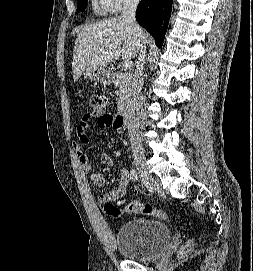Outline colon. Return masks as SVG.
<instances>
[{"label": "colon", "instance_id": "1", "mask_svg": "<svg viewBox=\"0 0 253 271\" xmlns=\"http://www.w3.org/2000/svg\"><path fill=\"white\" fill-rule=\"evenodd\" d=\"M91 105L94 113H101L102 111L105 110L107 106V98L102 94L94 93L91 95ZM112 207L125 209L130 213L155 216L163 220L167 219V214L164 211L155 208L153 205L149 203L131 201L128 203L119 202L117 205L113 204L108 205V208ZM190 245L191 241L189 240L185 248L188 249Z\"/></svg>", "mask_w": 253, "mask_h": 271}]
</instances>
